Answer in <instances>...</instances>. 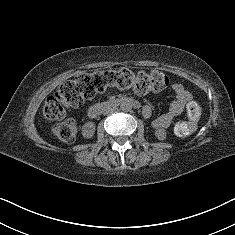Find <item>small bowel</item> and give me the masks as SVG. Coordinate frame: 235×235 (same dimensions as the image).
Instances as JSON below:
<instances>
[{"label": "small bowel", "mask_w": 235, "mask_h": 235, "mask_svg": "<svg viewBox=\"0 0 235 235\" xmlns=\"http://www.w3.org/2000/svg\"><path fill=\"white\" fill-rule=\"evenodd\" d=\"M172 91L175 94V99L170 104L168 111L153 121L154 128L160 129L168 127L192 100L190 92L179 83L172 85ZM142 114L144 117L149 118L152 114L151 107L148 105L143 106Z\"/></svg>", "instance_id": "small-bowel-1"}]
</instances>
